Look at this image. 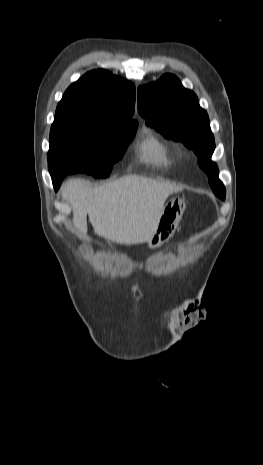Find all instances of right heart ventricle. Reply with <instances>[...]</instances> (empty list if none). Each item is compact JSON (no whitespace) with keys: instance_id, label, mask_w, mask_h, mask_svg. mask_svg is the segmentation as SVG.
<instances>
[{"instance_id":"obj_1","label":"right heart ventricle","mask_w":263,"mask_h":465,"mask_svg":"<svg viewBox=\"0 0 263 465\" xmlns=\"http://www.w3.org/2000/svg\"><path fill=\"white\" fill-rule=\"evenodd\" d=\"M137 150L140 161L146 164L167 168L174 162L170 146L149 130L144 133Z\"/></svg>"}]
</instances>
